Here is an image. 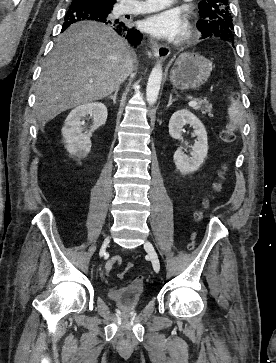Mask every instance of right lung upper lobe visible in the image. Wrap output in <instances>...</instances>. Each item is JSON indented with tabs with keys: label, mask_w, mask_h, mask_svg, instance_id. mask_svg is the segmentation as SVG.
<instances>
[{
	"label": "right lung upper lobe",
	"mask_w": 276,
	"mask_h": 363,
	"mask_svg": "<svg viewBox=\"0 0 276 363\" xmlns=\"http://www.w3.org/2000/svg\"><path fill=\"white\" fill-rule=\"evenodd\" d=\"M99 4L105 5V6H112L116 2V0H92Z\"/></svg>",
	"instance_id": "obj_1"
}]
</instances>
